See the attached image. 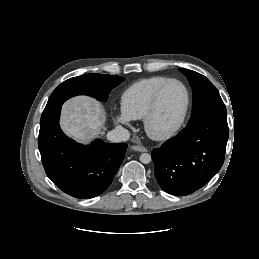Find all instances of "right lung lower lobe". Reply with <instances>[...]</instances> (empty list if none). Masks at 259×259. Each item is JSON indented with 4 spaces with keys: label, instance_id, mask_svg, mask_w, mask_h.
I'll return each mask as SVG.
<instances>
[{
    "label": "right lung lower lobe",
    "instance_id": "right-lung-lower-lobe-1",
    "mask_svg": "<svg viewBox=\"0 0 259 259\" xmlns=\"http://www.w3.org/2000/svg\"><path fill=\"white\" fill-rule=\"evenodd\" d=\"M61 106L43 111L38 147L47 176L63 192L76 198L100 195L111 184L122 163L127 144L98 139L82 145L60 129Z\"/></svg>",
    "mask_w": 259,
    "mask_h": 259
}]
</instances>
